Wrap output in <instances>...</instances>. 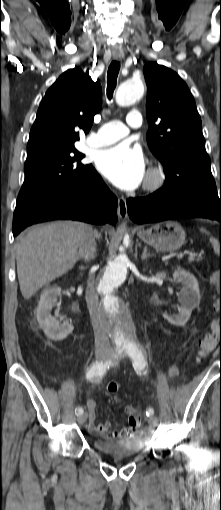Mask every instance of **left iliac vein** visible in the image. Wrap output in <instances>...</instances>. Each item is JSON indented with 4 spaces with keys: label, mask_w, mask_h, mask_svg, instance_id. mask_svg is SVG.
<instances>
[{
    "label": "left iliac vein",
    "mask_w": 221,
    "mask_h": 510,
    "mask_svg": "<svg viewBox=\"0 0 221 510\" xmlns=\"http://www.w3.org/2000/svg\"><path fill=\"white\" fill-rule=\"evenodd\" d=\"M117 364H118V362L116 361V362L114 363V365L116 366ZM148 423H149V425H150V426H152V427H156V426L158 425V419H157V417H155V416H153V415H152V416H150V417L148 418Z\"/></svg>",
    "instance_id": "obj_1"
}]
</instances>
